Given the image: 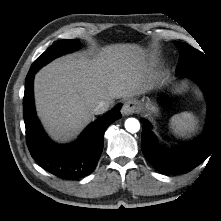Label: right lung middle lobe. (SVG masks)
Returning <instances> with one entry per match:
<instances>
[{"mask_svg": "<svg viewBox=\"0 0 221 221\" xmlns=\"http://www.w3.org/2000/svg\"><path fill=\"white\" fill-rule=\"evenodd\" d=\"M78 48L77 40H62L59 43L52 45L47 49L36 61L32 64L29 72H37L42 66L53 60L54 58L76 50Z\"/></svg>", "mask_w": 221, "mask_h": 221, "instance_id": "obj_1", "label": "right lung middle lobe"}]
</instances>
